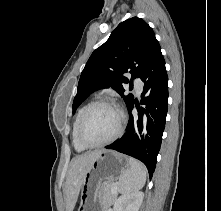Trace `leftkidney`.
Returning a JSON list of instances; mask_svg holds the SVG:
<instances>
[{"instance_id": "left-kidney-1", "label": "left kidney", "mask_w": 221, "mask_h": 211, "mask_svg": "<svg viewBox=\"0 0 221 211\" xmlns=\"http://www.w3.org/2000/svg\"><path fill=\"white\" fill-rule=\"evenodd\" d=\"M143 192H133L120 196L114 203V211H139L143 201Z\"/></svg>"}]
</instances>
